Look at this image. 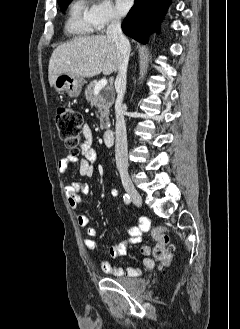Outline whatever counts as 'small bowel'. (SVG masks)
Returning <instances> with one entry per match:
<instances>
[{
  "instance_id": "obj_1",
  "label": "small bowel",
  "mask_w": 240,
  "mask_h": 329,
  "mask_svg": "<svg viewBox=\"0 0 240 329\" xmlns=\"http://www.w3.org/2000/svg\"><path fill=\"white\" fill-rule=\"evenodd\" d=\"M83 141L79 147L81 157L75 155H68L59 160L58 171L61 175H65L71 165L77 163L78 171L81 176L92 177L94 174V165L97 162L98 156L96 151L91 147L92 145V131L89 126L83 128ZM90 186L87 183L72 182L65 186V195L69 206L72 209H78L82 205L81 194H88ZM116 195V192L113 191ZM89 216L87 214H79L77 216V223L81 227L86 228L88 238L84 245L87 251H93L97 246L95 239L97 230L89 226ZM148 228V221L142 219L138 225L132 226L129 230V238L123 243L112 245L109 248V255L112 259L123 257L131 245L141 242V237L144 231ZM143 256L141 267H122L107 260H101V268L104 272L113 274L115 276L136 277L142 272L149 271L154 267V261L150 258L151 249L148 245H142L140 248Z\"/></svg>"
}]
</instances>
